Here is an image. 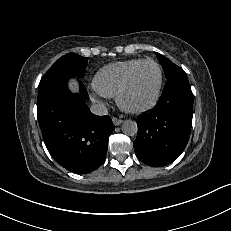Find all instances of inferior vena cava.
Returning a JSON list of instances; mask_svg holds the SVG:
<instances>
[{
    "label": "inferior vena cava",
    "instance_id": "inferior-vena-cava-1",
    "mask_svg": "<svg viewBox=\"0 0 231 231\" xmlns=\"http://www.w3.org/2000/svg\"><path fill=\"white\" fill-rule=\"evenodd\" d=\"M90 111L93 114L98 115V116H103V115H106L108 113V109L103 103L93 104L90 107Z\"/></svg>",
    "mask_w": 231,
    "mask_h": 231
}]
</instances>
